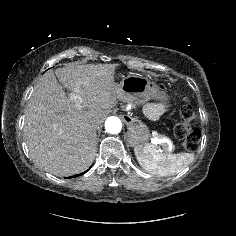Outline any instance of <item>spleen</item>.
I'll return each mask as SVG.
<instances>
[{
	"label": "spleen",
	"instance_id": "obj_1",
	"mask_svg": "<svg viewBox=\"0 0 236 236\" xmlns=\"http://www.w3.org/2000/svg\"><path fill=\"white\" fill-rule=\"evenodd\" d=\"M134 153L144 170L159 176L178 174L194 160L193 153L170 154L148 143L136 147Z\"/></svg>",
	"mask_w": 236,
	"mask_h": 236
}]
</instances>
